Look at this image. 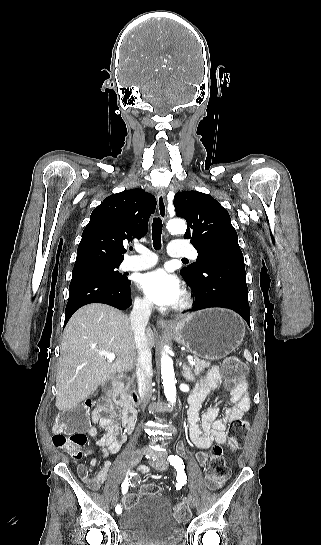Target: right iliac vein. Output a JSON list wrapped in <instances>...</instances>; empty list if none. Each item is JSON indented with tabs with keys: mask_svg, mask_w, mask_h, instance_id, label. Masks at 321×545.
<instances>
[{
	"mask_svg": "<svg viewBox=\"0 0 321 545\" xmlns=\"http://www.w3.org/2000/svg\"><path fill=\"white\" fill-rule=\"evenodd\" d=\"M141 458H142V450H140V449L135 450L131 454V457H130V460H129V466L130 467L136 466L140 462ZM117 500H118V494L115 493L113 495V497H112L111 505L115 506L116 503H117Z\"/></svg>",
	"mask_w": 321,
	"mask_h": 545,
	"instance_id": "1",
	"label": "right iliac vein"
}]
</instances>
